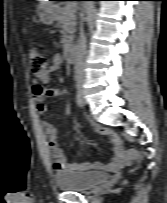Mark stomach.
<instances>
[{"mask_svg":"<svg viewBox=\"0 0 167 203\" xmlns=\"http://www.w3.org/2000/svg\"><path fill=\"white\" fill-rule=\"evenodd\" d=\"M38 15L40 21L46 25L52 24L57 19V13L52 5L41 6Z\"/></svg>","mask_w":167,"mask_h":203,"instance_id":"stomach-1","label":"stomach"}]
</instances>
